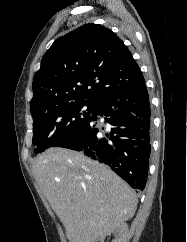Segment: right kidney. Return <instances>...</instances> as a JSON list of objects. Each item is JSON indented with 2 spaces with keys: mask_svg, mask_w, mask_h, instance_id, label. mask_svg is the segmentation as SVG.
<instances>
[{
  "mask_svg": "<svg viewBox=\"0 0 187 242\" xmlns=\"http://www.w3.org/2000/svg\"><path fill=\"white\" fill-rule=\"evenodd\" d=\"M111 233L115 236V239L112 242H126L128 226L126 223L118 224L107 232L91 237L87 242H104L106 235Z\"/></svg>",
  "mask_w": 187,
  "mask_h": 242,
  "instance_id": "1",
  "label": "right kidney"
}]
</instances>
